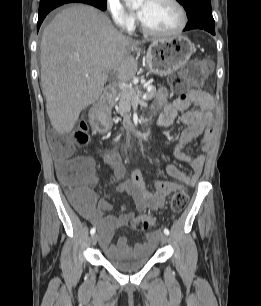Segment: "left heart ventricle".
I'll list each match as a JSON object with an SVG mask.
<instances>
[{"label": "left heart ventricle", "instance_id": "obj_1", "mask_svg": "<svg viewBox=\"0 0 261 306\" xmlns=\"http://www.w3.org/2000/svg\"><path fill=\"white\" fill-rule=\"evenodd\" d=\"M135 8L143 22L155 30L169 31L179 22L178 10L168 0H139Z\"/></svg>", "mask_w": 261, "mask_h": 306}]
</instances>
